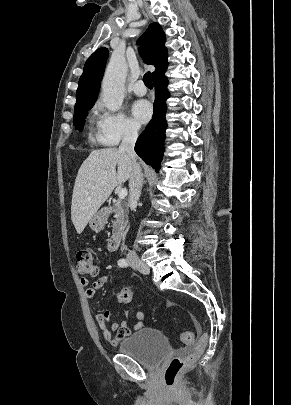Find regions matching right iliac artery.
Masks as SVG:
<instances>
[{
  "label": "right iliac artery",
  "instance_id": "1",
  "mask_svg": "<svg viewBox=\"0 0 291 405\" xmlns=\"http://www.w3.org/2000/svg\"><path fill=\"white\" fill-rule=\"evenodd\" d=\"M128 262L125 260V259H120L119 261H118V266L119 267H128Z\"/></svg>",
  "mask_w": 291,
  "mask_h": 405
}]
</instances>
